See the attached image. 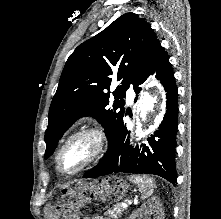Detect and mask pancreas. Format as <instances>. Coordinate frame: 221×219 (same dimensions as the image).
Returning <instances> with one entry per match:
<instances>
[{
    "label": "pancreas",
    "mask_w": 221,
    "mask_h": 219,
    "mask_svg": "<svg viewBox=\"0 0 221 219\" xmlns=\"http://www.w3.org/2000/svg\"><path fill=\"white\" fill-rule=\"evenodd\" d=\"M124 210L125 208L122 207L121 205L119 204L114 205L113 208L104 212L105 219H118L119 217L122 216Z\"/></svg>",
    "instance_id": "pancreas-1"
}]
</instances>
